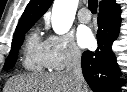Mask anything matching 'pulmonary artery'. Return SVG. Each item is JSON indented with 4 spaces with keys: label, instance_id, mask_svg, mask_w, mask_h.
<instances>
[{
    "label": "pulmonary artery",
    "instance_id": "obj_1",
    "mask_svg": "<svg viewBox=\"0 0 127 92\" xmlns=\"http://www.w3.org/2000/svg\"><path fill=\"white\" fill-rule=\"evenodd\" d=\"M77 17L81 23H88L91 19L90 12L86 8H81L77 13Z\"/></svg>",
    "mask_w": 127,
    "mask_h": 92
}]
</instances>
